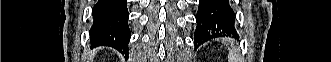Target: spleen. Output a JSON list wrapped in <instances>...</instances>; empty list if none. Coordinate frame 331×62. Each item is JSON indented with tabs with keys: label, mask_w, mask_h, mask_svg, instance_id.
Here are the masks:
<instances>
[{
	"label": "spleen",
	"mask_w": 331,
	"mask_h": 62,
	"mask_svg": "<svg viewBox=\"0 0 331 62\" xmlns=\"http://www.w3.org/2000/svg\"><path fill=\"white\" fill-rule=\"evenodd\" d=\"M232 48L229 51V62H238L239 60V52L237 48L234 46L233 42H231Z\"/></svg>",
	"instance_id": "1"
}]
</instances>
